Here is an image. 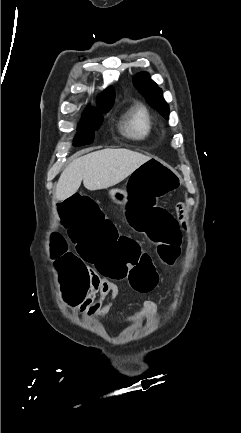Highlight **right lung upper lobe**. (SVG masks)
<instances>
[{
	"instance_id": "obj_1",
	"label": "right lung upper lobe",
	"mask_w": 241,
	"mask_h": 433,
	"mask_svg": "<svg viewBox=\"0 0 241 433\" xmlns=\"http://www.w3.org/2000/svg\"><path fill=\"white\" fill-rule=\"evenodd\" d=\"M114 101V89L108 87L100 97V108H105L113 104Z\"/></svg>"
}]
</instances>
